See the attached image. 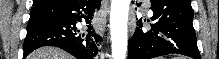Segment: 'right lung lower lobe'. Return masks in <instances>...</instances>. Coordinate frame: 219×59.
<instances>
[{"label": "right lung lower lobe", "mask_w": 219, "mask_h": 59, "mask_svg": "<svg viewBox=\"0 0 219 59\" xmlns=\"http://www.w3.org/2000/svg\"><path fill=\"white\" fill-rule=\"evenodd\" d=\"M100 3L101 0H55L33 5L30 16L46 14L49 20L28 25L24 57L39 47L55 46L77 59H93L101 37L93 29L91 20ZM82 20L89 24L84 32L76 27Z\"/></svg>", "instance_id": "98d812e1"}]
</instances>
